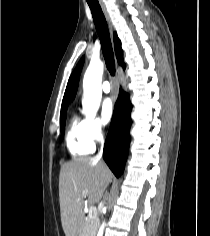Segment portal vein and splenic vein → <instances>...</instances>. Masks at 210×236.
<instances>
[{
	"label": "portal vein and splenic vein",
	"instance_id": "portal-vein-and-splenic-vein-1",
	"mask_svg": "<svg viewBox=\"0 0 210 236\" xmlns=\"http://www.w3.org/2000/svg\"><path fill=\"white\" fill-rule=\"evenodd\" d=\"M89 214L92 216V215H96L97 214V209L95 206H91L89 208Z\"/></svg>",
	"mask_w": 210,
	"mask_h": 236
}]
</instances>
